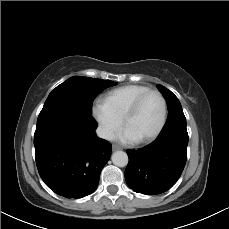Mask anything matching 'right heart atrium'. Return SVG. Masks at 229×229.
<instances>
[{"label":"right heart atrium","mask_w":229,"mask_h":229,"mask_svg":"<svg viewBox=\"0 0 229 229\" xmlns=\"http://www.w3.org/2000/svg\"><path fill=\"white\" fill-rule=\"evenodd\" d=\"M92 112L102 135L106 139H113L121 129V120L111 112L104 100H96L93 103Z\"/></svg>","instance_id":"right-heart-atrium-1"}]
</instances>
